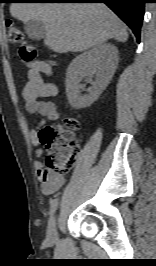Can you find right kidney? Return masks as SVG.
<instances>
[{"mask_svg": "<svg viewBox=\"0 0 156 266\" xmlns=\"http://www.w3.org/2000/svg\"><path fill=\"white\" fill-rule=\"evenodd\" d=\"M118 49L111 43H104L78 55L69 65L66 73V94L69 104L83 109L94 103L112 79L118 65ZM95 75V80H92ZM87 77L91 87L81 95L84 86L80 84Z\"/></svg>", "mask_w": 156, "mask_h": 266, "instance_id": "obj_1", "label": "right kidney"}]
</instances>
